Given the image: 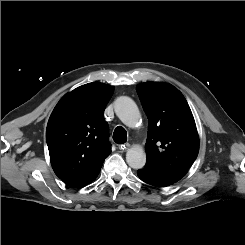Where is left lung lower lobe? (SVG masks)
I'll use <instances>...</instances> for the list:
<instances>
[{"mask_svg":"<svg viewBox=\"0 0 245 245\" xmlns=\"http://www.w3.org/2000/svg\"><path fill=\"white\" fill-rule=\"evenodd\" d=\"M138 177L145 183L156 186V187H168L171 186L182 178L168 173L152 169L145 166L137 171Z\"/></svg>","mask_w":245,"mask_h":245,"instance_id":"0a47b994","label":"left lung lower lobe"}]
</instances>
